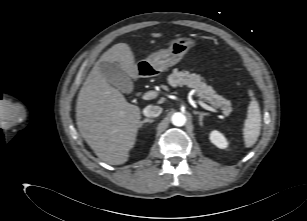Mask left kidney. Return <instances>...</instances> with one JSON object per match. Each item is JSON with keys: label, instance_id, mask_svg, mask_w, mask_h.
Masks as SVG:
<instances>
[{"label": "left kidney", "instance_id": "1", "mask_svg": "<svg viewBox=\"0 0 307 221\" xmlns=\"http://www.w3.org/2000/svg\"><path fill=\"white\" fill-rule=\"evenodd\" d=\"M210 141L220 149L228 147V142L225 137L217 130L210 133Z\"/></svg>", "mask_w": 307, "mask_h": 221}]
</instances>
